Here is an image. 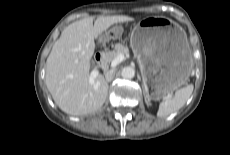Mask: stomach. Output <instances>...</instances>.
Masks as SVG:
<instances>
[{
  "label": "stomach",
  "mask_w": 230,
  "mask_h": 155,
  "mask_svg": "<svg viewBox=\"0 0 230 155\" xmlns=\"http://www.w3.org/2000/svg\"><path fill=\"white\" fill-rule=\"evenodd\" d=\"M130 46L148 100L165 99L186 84L193 58L186 33L177 23L163 16L143 18L132 30Z\"/></svg>",
  "instance_id": "0dacf381"
}]
</instances>
